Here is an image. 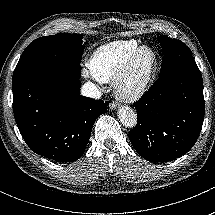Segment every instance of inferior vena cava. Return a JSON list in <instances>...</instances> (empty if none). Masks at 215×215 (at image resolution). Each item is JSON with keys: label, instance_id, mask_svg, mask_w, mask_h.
I'll use <instances>...</instances> for the list:
<instances>
[{"label": "inferior vena cava", "instance_id": "1", "mask_svg": "<svg viewBox=\"0 0 215 215\" xmlns=\"http://www.w3.org/2000/svg\"><path fill=\"white\" fill-rule=\"evenodd\" d=\"M81 95L95 100H98L102 97L101 91L93 82H86L83 85L81 88Z\"/></svg>", "mask_w": 215, "mask_h": 215}]
</instances>
